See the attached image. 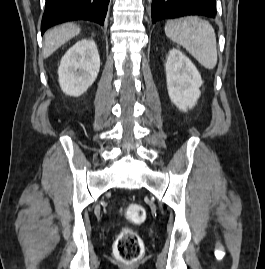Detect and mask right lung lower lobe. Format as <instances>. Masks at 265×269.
Instances as JSON below:
<instances>
[{"mask_svg": "<svg viewBox=\"0 0 265 269\" xmlns=\"http://www.w3.org/2000/svg\"><path fill=\"white\" fill-rule=\"evenodd\" d=\"M108 4L109 0H46L41 32L71 20H90L103 25Z\"/></svg>", "mask_w": 265, "mask_h": 269, "instance_id": "right-lung-lower-lobe-1", "label": "right lung lower lobe"}]
</instances>
